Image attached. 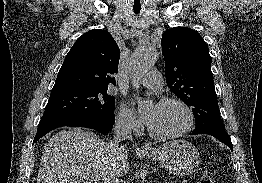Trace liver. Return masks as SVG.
Here are the masks:
<instances>
[{
  "label": "liver",
  "instance_id": "liver-1",
  "mask_svg": "<svg viewBox=\"0 0 262 183\" xmlns=\"http://www.w3.org/2000/svg\"><path fill=\"white\" fill-rule=\"evenodd\" d=\"M130 168L127 151L80 128L62 130L46 143L37 183H93L96 175L119 178Z\"/></svg>",
  "mask_w": 262,
  "mask_h": 183
}]
</instances>
